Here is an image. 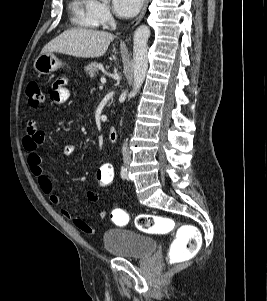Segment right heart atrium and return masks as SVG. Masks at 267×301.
Masks as SVG:
<instances>
[{
  "instance_id": "1",
  "label": "right heart atrium",
  "mask_w": 267,
  "mask_h": 301,
  "mask_svg": "<svg viewBox=\"0 0 267 301\" xmlns=\"http://www.w3.org/2000/svg\"><path fill=\"white\" fill-rule=\"evenodd\" d=\"M94 15L99 25L104 27L110 26L113 21L109 7L102 2L95 1Z\"/></svg>"
}]
</instances>
